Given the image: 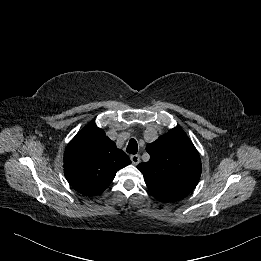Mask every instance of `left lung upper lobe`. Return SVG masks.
Wrapping results in <instances>:
<instances>
[{
	"mask_svg": "<svg viewBox=\"0 0 261 261\" xmlns=\"http://www.w3.org/2000/svg\"><path fill=\"white\" fill-rule=\"evenodd\" d=\"M148 162L137 168L155 198L182 199L197 185L201 175V160L186 133L173 128L146 146Z\"/></svg>",
	"mask_w": 261,
	"mask_h": 261,
	"instance_id": "5c2ea615",
	"label": "left lung upper lobe"
}]
</instances>
